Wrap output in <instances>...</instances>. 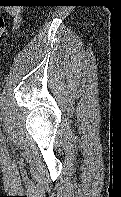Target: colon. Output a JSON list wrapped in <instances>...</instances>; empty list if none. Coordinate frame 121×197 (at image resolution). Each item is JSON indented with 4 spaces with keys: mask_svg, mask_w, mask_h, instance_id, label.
Here are the masks:
<instances>
[{
    "mask_svg": "<svg viewBox=\"0 0 121 197\" xmlns=\"http://www.w3.org/2000/svg\"><path fill=\"white\" fill-rule=\"evenodd\" d=\"M6 32V22L4 17L0 14V40L4 37Z\"/></svg>",
    "mask_w": 121,
    "mask_h": 197,
    "instance_id": "obj_1",
    "label": "colon"
}]
</instances>
